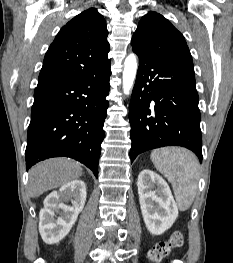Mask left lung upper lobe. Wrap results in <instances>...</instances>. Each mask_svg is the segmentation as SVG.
<instances>
[{
    "label": "left lung upper lobe",
    "instance_id": "1",
    "mask_svg": "<svg viewBox=\"0 0 233 263\" xmlns=\"http://www.w3.org/2000/svg\"><path fill=\"white\" fill-rule=\"evenodd\" d=\"M131 44L139 54L193 64L184 36L156 12H148L141 18Z\"/></svg>",
    "mask_w": 233,
    "mask_h": 263
}]
</instances>
